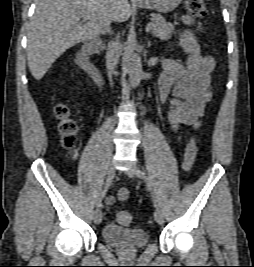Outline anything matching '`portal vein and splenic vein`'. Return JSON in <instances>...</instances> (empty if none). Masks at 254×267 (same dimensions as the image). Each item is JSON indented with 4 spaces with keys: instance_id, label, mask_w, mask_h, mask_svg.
<instances>
[{
    "instance_id": "obj_1",
    "label": "portal vein and splenic vein",
    "mask_w": 254,
    "mask_h": 267,
    "mask_svg": "<svg viewBox=\"0 0 254 267\" xmlns=\"http://www.w3.org/2000/svg\"><path fill=\"white\" fill-rule=\"evenodd\" d=\"M87 18H91V17H94L96 19H98L95 15H90V14H87L86 15ZM152 26L153 24L152 23H148L145 27L146 31H150L152 29Z\"/></svg>"
}]
</instances>
